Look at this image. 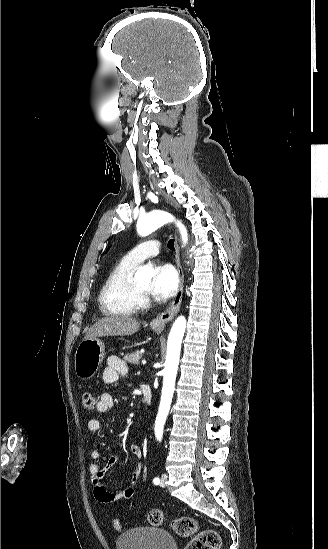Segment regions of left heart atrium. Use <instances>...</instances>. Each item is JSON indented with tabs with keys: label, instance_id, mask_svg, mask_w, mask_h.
Here are the masks:
<instances>
[{
	"label": "left heart atrium",
	"instance_id": "39dd6f15",
	"mask_svg": "<svg viewBox=\"0 0 328 549\" xmlns=\"http://www.w3.org/2000/svg\"><path fill=\"white\" fill-rule=\"evenodd\" d=\"M179 284L180 279L174 266L160 264L153 270L149 293L156 300H167L177 292Z\"/></svg>",
	"mask_w": 328,
	"mask_h": 549
}]
</instances>
